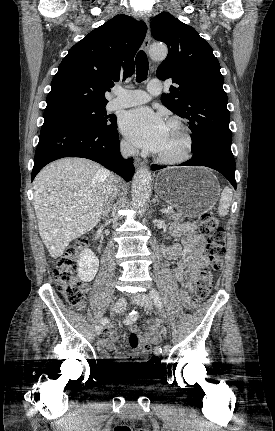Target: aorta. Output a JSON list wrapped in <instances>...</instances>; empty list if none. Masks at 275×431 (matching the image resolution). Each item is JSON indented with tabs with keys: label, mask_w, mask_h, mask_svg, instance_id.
Returning <instances> with one entry per match:
<instances>
[{
	"label": "aorta",
	"mask_w": 275,
	"mask_h": 431,
	"mask_svg": "<svg viewBox=\"0 0 275 431\" xmlns=\"http://www.w3.org/2000/svg\"><path fill=\"white\" fill-rule=\"evenodd\" d=\"M167 48L164 45H152L149 49L151 59L162 61L167 56ZM151 191V172L145 166L139 168L132 181V201L135 206L143 207L149 199Z\"/></svg>",
	"instance_id": "762f6f07"
}]
</instances>
